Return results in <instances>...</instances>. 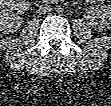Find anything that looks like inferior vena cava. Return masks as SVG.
<instances>
[{"label": "inferior vena cava", "instance_id": "602c4592", "mask_svg": "<svg viewBox=\"0 0 111 106\" xmlns=\"http://www.w3.org/2000/svg\"><path fill=\"white\" fill-rule=\"evenodd\" d=\"M50 11H51L50 5H48V4H41V5L39 6L38 13L44 15V14H46V13H49Z\"/></svg>", "mask_w": 111, "mask_h": 106}]
</instances>
